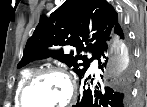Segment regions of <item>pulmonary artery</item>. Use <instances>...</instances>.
<instances>
[{"instance_id":"obj_1","label":"pulmonary artery","mask_w":147,"mask_h":107,"mask_svg":"<svg viewBox=\"0 0 147 107\" xmlns=\"http://www.w3.org/2000/svg\"><path fill=\"white\" fill-rule=\"evenodd\" d=\"M97 67V61H94L92 64H91V69H95Z\"/></svg>"}]
</instances>
